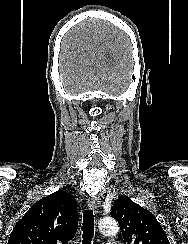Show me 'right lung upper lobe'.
I'll return each mask as SVG.
<instances>
[{
	"label": "right lung upper lobe",
	"mask_w": 188,
	"mask_h": 244,
	"mask_svg": "<svg viewBox=\"0 0 188 244\" xmlns=\"http://www.w3.org/2000/svg\"><path fill=\"white\" fill-rule=\"evenodd\" d=\"M77 228L76 200L58 190L31 206L13 228L8 244H66Z\"/></svg>",
	"instance_id": "cb5924a9"
}]
</instances>
